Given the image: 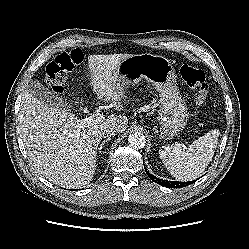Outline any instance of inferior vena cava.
Segmentation results:
<instances>
[{"mask_svg": "<svg viewBox=\"0 0 249 249\" xmlns=\"http://www.w3.org/2000/svg\"><path fill=\"white\" fill-rule=\"evenodd\" d=\"M119 133V129L115 126H109L103 129L102 135L107 138H111L112 136Z\"/></svg>", "mask_w": 249, "mask_h": 249, "instance_id": "obj_1", "label": "inferior vena cava"}]
</instances>
